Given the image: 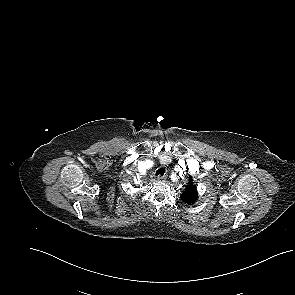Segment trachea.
<instances>
[{
	"mask_svg": "<svg viewBox=\"0 0 295 295\" xmlns=\"http://www.w3.org/2000/svg\"><path fill=\"white\" fill-rule=\"evenodd\" d=\"M164 173H165V169L164 168H160V169H158L157 171H156V176H158V175H164Z\"/></svg>",
	"mask_w": 295,
	"mask_h": 295,
	"instance_id": "obj_1",
	"label": "trachea"
}]
</instances>
